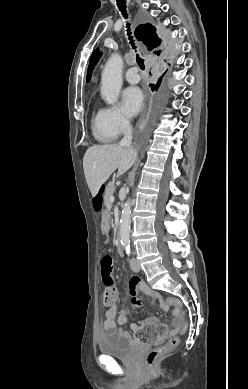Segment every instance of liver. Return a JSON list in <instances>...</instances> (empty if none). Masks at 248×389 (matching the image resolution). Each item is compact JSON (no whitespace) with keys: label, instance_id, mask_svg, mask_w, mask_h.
<instances>
[{"label":"liver","instance_id":"6515ba94","mask_svg":"<svg viewBox=\"0 0 248 389\" xmlns=\"http://www.w3.org/2000/svg\"><path fill=\"white\" fill-rule=\"evenodd\" d=\"M136 158V151L118 144L89 147L83 158V168L91 194L95 196L101 185L116 169H118V175L127 172L135 163Z\"/></svg>","mask_w":248,"mask_h":389}]
</instances>
